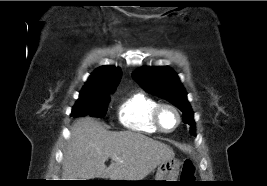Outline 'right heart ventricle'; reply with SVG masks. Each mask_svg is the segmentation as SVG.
I'll use <instances>...</instances> for the list:
<instances>
[{
  "label": "right heart ventricle",
  "instance_id": "obj_1",
  "mask_svg": "<svg viewBox=\"0 0 267 186\" xmlns=\"http://www.w3.org/2000/svg\"><path fill=\"white\" fill-rule=\"evenodd\" d=\"M159 102L153 97L136 92L126 98L118 108L120 124L131 131L156 134L159 131L152 121V113Z\"/></svg>",
  "mask_w": 267,
  "mask_h": 186
}]
</instances>
